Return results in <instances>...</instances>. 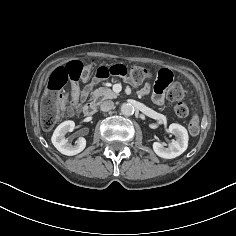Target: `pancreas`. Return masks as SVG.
<instances>
[{
  "label": "pancreas",
  "instance_id": "obj_1",
  "mask_svg": "<svg viewBox=\"0 0 236 236\" xmlns=\"http://www.w3.org/2000/svg\"><path fill=\"white\" fill-rule=\"evenodd\" d=\"M117 96V93L106 87H100L92 92V100L95 105H99L106 99L117 98Z\"/></svg>",
  "mask_w": 236,
  "mask_h": 236
}]
</instances>
